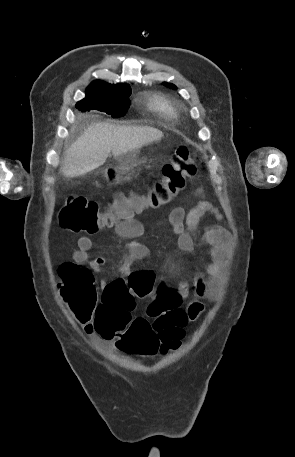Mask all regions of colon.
Returning a JSON list of instances; mask_svg holds the SVG:
<instances>
[{
	"mask_svg": "<svg viewBox=\"0 0 295 457\" xmlns=\"http://www.w3.org/2000/svg\"><path fill=\"white\" fill-rule=\"evenodd\" d=\"M196 173L197 162L192 150L188 146H180L163 165L161 177L146 194L125 196L118 193L106 208L86 197L72 196L60 210L59 222L73 233H97L147 208L167 204L185 189ZM59 276L61 296L75 317L92 321L94 331L103 339H115L124 359H133L134 355L150 359L151 355L181 349L187 314L173 299L174 293L159 289L158 300L147 310L152 322L144 317H131L130 312L135 305L131 291L139 296L149 294L156 284V277L151 271L134 272L127 283L116 280L108 284L100 302L93 275L86 267L67 262L61 266Z\"/></svg>",
	"mask_w": 295,
	"mask_h": 457,
	"instance_id": "colon-1",
	"label": "colon"
}]
</instances>
